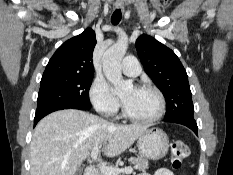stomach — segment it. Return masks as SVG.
<instances>
[{
	"mask_svg": "<svg viewBox=\"0 0 233 175\" xmlns=\"http://www.w3.org/2000/svg\"><path fill=\"white\" fill-rule=\"evenodd\" d=\"M137 146L142 157L159 160L168 152L169 139L163 130L152 127L139 136Z\"/></svg>",
	"mask_w": 233,
	"mask_h": 175,
	"instance_id": "stomach-1",
	"label": "stomach"
}]
</instances>
